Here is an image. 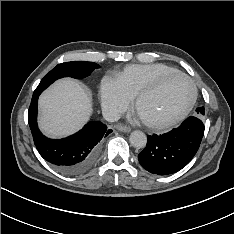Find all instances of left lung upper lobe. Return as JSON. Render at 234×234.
<instances>
[{"label":"left lung upper lobe","mask_w":234,"mask_h":234,"mask_svg":"<svg viewBox=\"0 0 234 234\" xmlns=\"http://www.w3.org/2000/svg\"><path fill=\"white\" fill-rule=\"evenodd\" d=\"M204 114H205L204 107H199L196 109L195 116L202 118Z\"/></svg>","instance_id":"1"}]
</instances>
